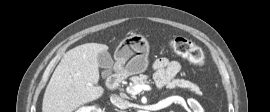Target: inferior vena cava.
<instances>
[{
    "instance_id": "602c4592",
    "label": "inferior vena cava",
    "mask_w": 270,
    "mask_h": 112,
    "mask_svg": "<svg viewBox=\"0 0 270 112\" xmlns=\"http://www.w3.org/2000/svg\"><path fill=\"white\" fill-rule=\"evenodd\" d=\"M111 101L120 108H127L129 106V101L119 97L116 94L111 96Z\"/></svg>"
}]
</instances>
